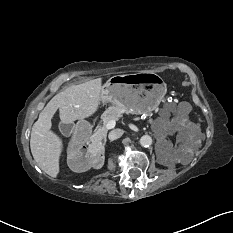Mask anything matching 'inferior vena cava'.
I'll return each instance as SVG.
<instances>
[{
    "label": "inferior vena cava",
    "mask_w": 233,
    "mask_h": 233,
    "mask_svg": "<svg viewBox=\"0 0 233 233\" xmlns=\"http://www.w3.org/2000/svg\"><path fill=\"white\" fill-rule=\"evenodd\" d=\"M121 136H122V130L116 129L109 133L108 138L109 140L113 141L120 138Z\"/></svg>",
    "instance_id": "inferior-vena-cava-1"
}]
</instances>
